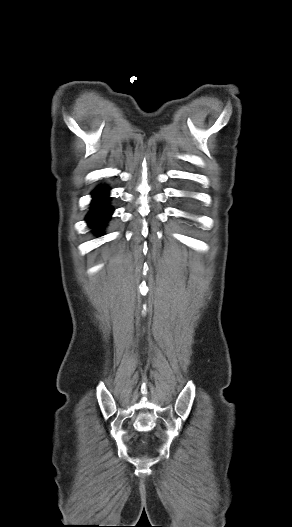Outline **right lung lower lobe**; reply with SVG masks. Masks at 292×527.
Returning <instances> with one entry per match:
<instances>
[{
    "label": "right lung lower lobe",
    "mask_w": 292,
    "mask_h": 527,
    "mask_svg": "<svg viewBox=\"0 0 292 527\" xmlns=\"http://www.w3.org/2000/svg\"><path fill=\"white\" fill-rule=\"evenodd\" d=\"M108 190L105 186H101L93 192L92 208L86 217L89 226L92 228L100 229L105 226L113 212V209L108 205Z\"/></svg>",
    "instance_id": "98d812e1"
}]
</instances>
